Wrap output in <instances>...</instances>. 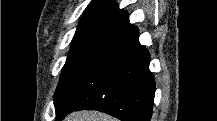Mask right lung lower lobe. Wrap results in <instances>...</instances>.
<instances>
[{"instance_id": "right-lung-lower-lobe-1", "label": "right lung lower lobe", "mask_w": 217, "mask_h": 121, "mask_svg": "<svg viewBox=\"0 0 217 121\" xmlns=\"http://www.w3.org/2000/svg\"><path fill=\"white\" fill-rule=\"evenodd\" d=\"M138 29L127 24L95 62L54 98L56 120L71 111L98 110L122 121H150L155 81Z\"/></svg>"}]
</instances>
